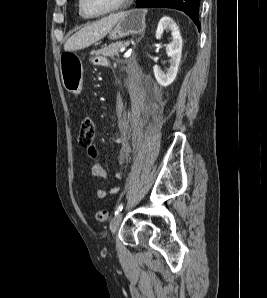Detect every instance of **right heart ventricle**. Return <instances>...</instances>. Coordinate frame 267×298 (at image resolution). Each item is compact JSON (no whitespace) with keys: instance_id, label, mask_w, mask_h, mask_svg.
<instances>
[{"instance_id":"1","label":"right heart ventricle","mask_w":267,"mask_h":298,"mask_svg":"<svg viewBox=\"0 0 267 298\" xmlns=\"http://www.w3.org/2000/svg\"><path fill=\"white\" fill-rule=\"evenodd\" d=\"M79 13H80V15L84 16V15L81 13V11H80V10H79Z\"/></svg>"}]
</instances>
